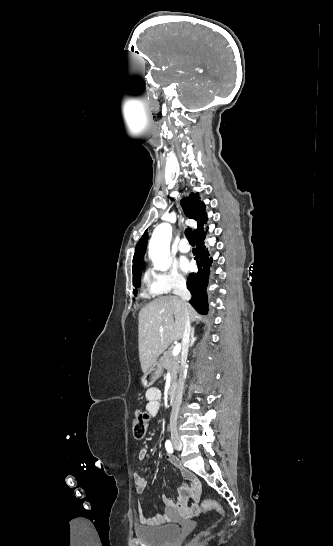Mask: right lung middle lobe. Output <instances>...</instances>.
Returning a JSON list of instances; mask_svg holds the SVG:
<instances>
[{"label":"right lung middle lobe","mask_w":333,"mask_h":546,"mask_svg":"<svg viewBox=\"0 0 333 546\" xmlns=\"http://www.w3.org/2000/svg\"><path fill=\"white\" fill-rule=\"evenodd\" d=\"M133 285L135 286V288H138L140 286V277L139 275H137L135 277V280L133 282ZM134 294H136V290L133 291Z\"/></svg>","instance_id":"right-lung-middle-lobe-1"}]
</instances>
